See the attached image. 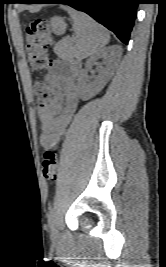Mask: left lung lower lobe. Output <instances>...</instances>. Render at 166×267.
I'll return each mask as SVG.
<instances>
[{
	"mask_svg": "<svg viewBox=\"0 0 166 267\" xmlns=\"http://www.w3.org/2000/svg\"><path fill=\"white\" fill-rule=\"evenodd\" d=\"M21 3H62L83 11L128 44L139 0H23Z\"/></svg>",
	"mask_w": 166,
	"mask_h": 267,
	"instance_id": "obj_1",
	"label": "left lung lower lobe"
}]
</instances>
